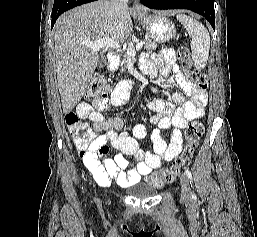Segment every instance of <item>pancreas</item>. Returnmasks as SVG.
Wrapping results in <instances>:
<instances>
[{"mask_svg":"<svg viewBox=\"0 0 257 237\" xmlns=\"http://www.w3.org/2000/svg\"><path fill=\"white\" fill-rule=\"evenodd\" d=\"M157 44L153 41H151L150 39H146L144 41V48L146 50H155L157 48ZM128 47H133V43L129 44ZM128 60H129V55L127 54V52H125L123 54V64H127L128 63Z\"/></svg>","mask_w":257,"mask_h":237,"instance_id":"1","label":"pancreas"}]
</instances>
